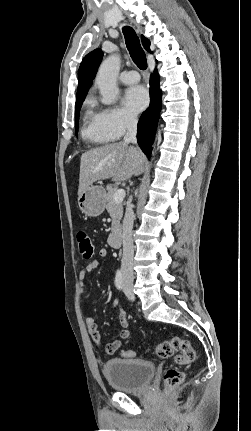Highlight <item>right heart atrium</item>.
I'll list each match as a JSON object with an SVG mask.
<instances>
[{
	"instance_id": "obj_1",
	"label": "right heart atrium",
	"mask_w": 251,
	"mask_h": 431,
	"mask_svg": "<svg viewBox=\"0 0 251 431\" xmlns=\"http://www.w3.org/2000/svg\"><path fill=\"white\" fill-rule=\"evenodd\" d=\"M99 119L104 131L112 138L118 139L137 125V117L131 111L108 106L99 111Z\"/></svg>"
}]
</instances>
